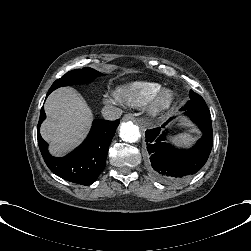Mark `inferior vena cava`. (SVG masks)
<instances>
[{
    "instance_id": "obj_1",
    "label": "inferior vena cava",
    "mask_w": 251,
    "mask_h": 251,
    "mask_svg": "<svg viewBox=\"0 0 251 251\" xmlns=\"http://www.w3.org/2000/svg\"><path fill=\"white\" fill-rule=\"evenodd\" d=\"M102 115L106 120H116L121 117L122 110L112 105H106L102 109Z\"/></svg>"
}]
</instances>
